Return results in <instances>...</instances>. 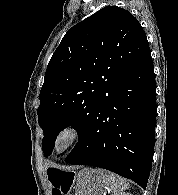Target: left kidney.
I'll list each match as a JSON object with an SVG mask.
<instances>
[{"mask_svg": "<svg viewBox=\"0 0 178 195\" xmlns=\"http://www.w3.org/2000/svg\"><path fill=\"white\" fill-rule=\"evenodd\" d=\"M118 195H132V194H129V193H120V194H118Z\"/></svg>", "mask_w": 178, "mask_h": 195, "instance_id": "obj_1", "label": "left kidney"}]
</instances>
